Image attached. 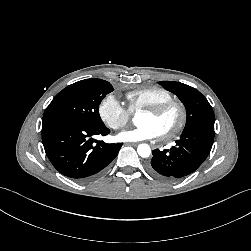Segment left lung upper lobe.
<instances>
[{"label": "left lung upper lobe", "mask_w": 251, "mask_h": 251, "mask_svg": "<svg viewBox=\"0 0 251 251\" xmlns=\"http://www.w3.org/2000/svg\"><path fill=\"white\" fill-rule=\"evenodd\" d=\"M166 90L176 94L187 111L186 125L183 131L197 127L214 129V112L207 99L195 88L174 81H160Z\"/></svg>", "instance_id": "obj_1"}]
</instances>
